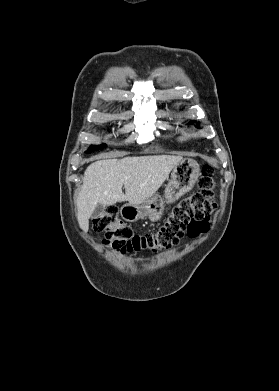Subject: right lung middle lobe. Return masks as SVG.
Here are the masks:
<instances>
[{"label": "right lung middle lobe", "mask_w": 279, "mask_h": 391, "mask_svg": "<svg viewBox=\"0 0 279 391\" xmlns=\"http://www.w3.org/2000/svg\"><path fill=\"white\" fill-rule=\"evenodd\" d=\"M104 147H106V144H102V145H99V146H91V148H89L86 151V153H90V152H92L94 150L101 149V148H104Z\"/></svg>", "instance_id": "1"}]
</instances>
